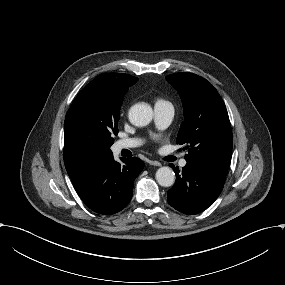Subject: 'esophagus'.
Segmentation results:
<instances>
[{
  "label": "esophagus",
  "instance_id": "obj_1",
  "mask_svg": "<svg viewBox=\"0 0 285 285\" xmlns=\"http://www.w3.org/2000/svg\"><path fill=\"white\" fill-rule=\"evenodd\" d=\"M150 165L156 166V167H161V163L158 161H149Z\"/></svg>",
  "mask_w": 285,
  "mask_h": 285
}]
</instances>
